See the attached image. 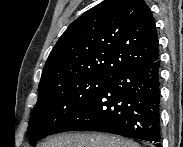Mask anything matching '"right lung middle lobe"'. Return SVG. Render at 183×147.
<instances>
[{
  "instance_id": "obj_1",
  "label": "right lung middle lobe",
  "mask_w": 183,
  "mask_h": 147,
  "mask_svg": "<svg viewBox=\"0 0 183 147\" xmlns=\"http://www.w3.org/2000/svg\"><path fill=\"white\" fill-rule=\"evenodd\" d=\"M109 79L86 77L38 90L27 134L31 145L52 132Z\"/></svg>"
}]
</instances>
